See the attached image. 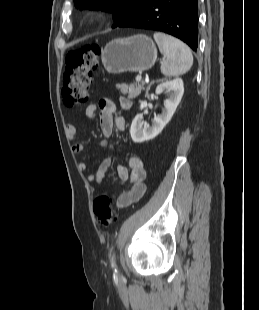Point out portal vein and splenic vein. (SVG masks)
Masks as SVG:
<instances>
[{
  "label": "portal vein and splenic vein",
  "instance_id": "obj_1",
  "mask_svg": "<svg viewBox=\"0 0 259 310\" xmlns=\"http://www.w3.org/2000/svg\"><path fill=\"white\" fill-rule=\"evenodd\" d=\"M142 80V76L141 75H138L137 77H136V82H140Z\"/></svg>",
  "mask_w": 259,
  "mask_h": 310
}]
</instances>
